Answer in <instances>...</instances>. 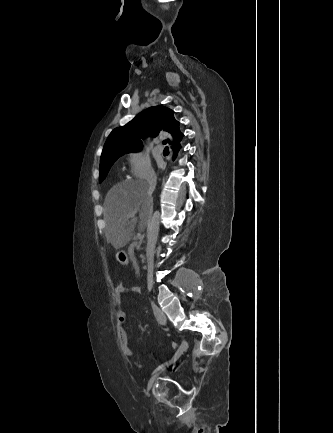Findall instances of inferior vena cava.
<instances>
[{
  "label": "inferior vena cava",
  "mask_w": 333,
  "mask_h": 433,
  "mask_svg": "<svg viewBox=\"0 0 333 433\" xmlns=\"http://www.w3.org/2000/svg\"><path fill=\"white\" fill-rule=\"evenodd\" d=\"M147 183H148V187H149V193L150 195H152V193L154 192L155 188H156V184H157V176L155 174L154 171L149 172L147 178ZM153 309V313L154 316L157 320V322L162 323L166 321V317L164 315V313L157 307V306H152Z\"/></svg>",
  "instance_id": "inferior-vena-cava-1"
}]
</instances>
